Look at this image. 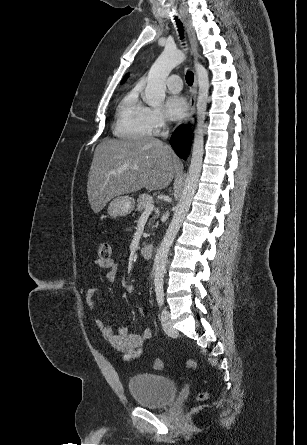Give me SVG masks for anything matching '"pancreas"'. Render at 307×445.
Returning a JSON list of instances; mask_svg holds the SVG:
<instances>
[{"label": "pancreas", "instance_id": "cf45deb5", "mask_svg": "<svg viewBox=\"0 0 307 445\" xmlns=\"http://www.w3.org/2000/svg\"><path fill=\"white\" fill-rule=\"evenodd\" d=\"M149 202H153L152 196L150 194H139V198H137V208L136 210H144L146 204H149Z\"/></svg>", "mask_w": 307, "mask_h": 445}]
</instances>
